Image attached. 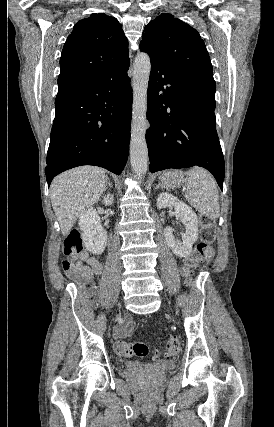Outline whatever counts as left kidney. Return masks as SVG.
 I'll return each instance as SVG.
<instances>
[{
  "mask_svg": "<svg viewBox=\"0 0 274 427\" xmlns=\"http://www.w3.org/2000/svg\"><path fill=\"white\" fill-rule=\"evenodd\" d=\"M171 206L175 210L176 217H180L184 223L186 231L182 233V241L173 235L172 227H165L164 235L173 253L178 257H186V255H190L192 245L198 239V217L187 204L179 202L171 194H160L157 200V208L161 210V208H171Z\"/></svg>",
  "mask_w": 274,
  "mask_h": 427,
  "instance_id": "left-kidney-1",
  "label": "left kidney"
}]
</instances>
